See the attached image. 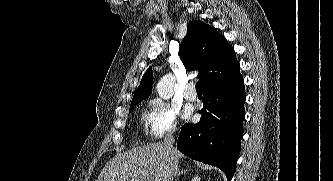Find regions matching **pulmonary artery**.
Instances as JSON below:
<instances>
[{"label": "pulmonary artery", "instance_id": "pulmonary-artery-1", "mask_svg": "<svg viewBox=\"0 0 333 181\" xmlns=\"http://www.w3.org/2000/svg\"><path fill=\"white\" fill-rule=\"evenodd\" d=\"M184 96L188 101H195L197 99V94L194 91V86L189 84L184 92Z\"/></svg>", "mask_w": 333, "mask_h": 181}]
</instances>
